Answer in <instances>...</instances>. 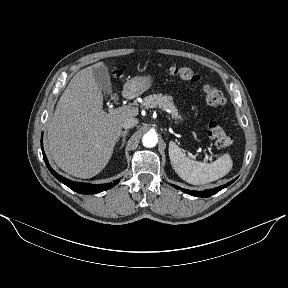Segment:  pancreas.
Instances as JSON below:
<instances>
[{
	"instance_id": "cf45deb5",
	"label": "pancreas",
	"mask_w": 288,
	"mask_h": 288,
	"mask_svg": "<svg viewBox=\"0 0 288 288\" xmlns=\"http://www.w3.org/2000/svg\"><path fill=\"white\" fill-rule=\"evenodd\" d=\"M143 106L145 108H161L162 110L169 111L172 117L176 118L178 116V111L174 103L172 102V97L162 94L149 95L144 98Z\"/></svg>"
}]
</instances>
